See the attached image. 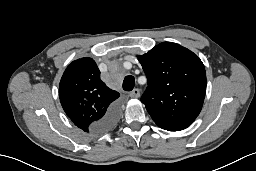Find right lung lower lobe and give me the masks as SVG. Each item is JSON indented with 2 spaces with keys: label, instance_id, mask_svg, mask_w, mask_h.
<instances>
[{
  "label": "right lung lower lobe",
  "instance_id": "1",
  "mask_svg": "<svg viewBox=\"0 0 256 171\" xmlns=\"http://www.w3.org/2000/svg\"><path fill=\"white\" fill-rule=\"evenodd\" d=\"M119 111L120 109L118 104H115L112 107H110L105 116L101 119V122L99 124L100 128L102 130H108L112 128L117 122Z\"/></svg>",
  "mask_w": 256,
  "mask_h": 171
}]
</instances>
